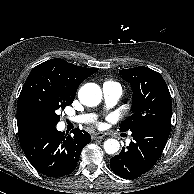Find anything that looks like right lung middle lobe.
Segmentation results:
<instances>
[{
  "instance_id": "1",
  "label": "right lung middle lobe",
  "mask_w": 194,
  "mask_h": 194,
  "mask_svg": "<svg viewBox=\"0 0 194 194\" xmlns=\"http://www.w3.org/2000/svg\"><path fill=\"white\" fill-rule=\"evenodd\" d=\"M74 97L48 76L34 74L26 80L18 103L25 116L38 126L55 127L60 120L57 110L70 105Z\"/></svg>"
}]
</instances>
